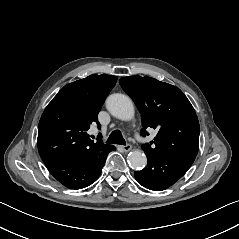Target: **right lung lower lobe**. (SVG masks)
<instances>
[{"mask_svg":"<svg viewBox=\"0 0 239 239\" xmlns=\"http://www.w3.org/2000/svg\"><path fill=\"white\" fill-rule=\"evenodd\" d=\"M113 145H106L89 156L45 162L49 172L61 184L70 189L85 188L96 181Z\"/></svg>","mask_w":239,"mask_h":239,"instance_id":"right-lung-lower-lobe-1","label":"right lung lower lobe"}]
</instances>
